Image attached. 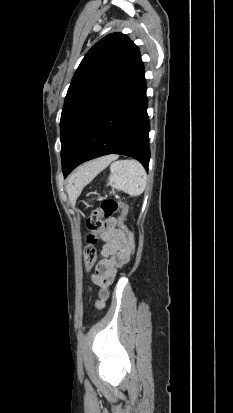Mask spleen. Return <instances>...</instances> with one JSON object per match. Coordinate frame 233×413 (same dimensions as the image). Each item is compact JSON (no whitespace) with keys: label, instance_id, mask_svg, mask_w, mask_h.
Masks as SVG:
<instances>
[{"label":"spleen","instance_id":"1","mask_svg":"<svg viewBox=\"0 0 233 413\" xmlns=\"http://www.w3.org/2000/svg\"><path fill=\"white\" fill-rule=\"evenodd\" d=\"M147 184L144 167L136 160H118L110 166L109 185L130 196L141 195Z\"/></svg>","mask_w":233,"mask_h":413}]
</instances>
